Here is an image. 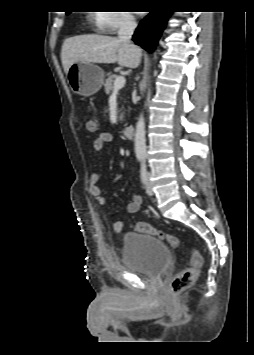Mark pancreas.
<instances>
[{
	"instance_id": "obj_1",
	"label": "pancreas",
	"mask_w": 254,
	"mask_h": 355,
	"mask_svg": "<svg viewBox=\"0 0 254 355\" xmlns=\"http://www.w3.org/2000/svg\"><path fill=\"white\" fill-rule=\"evenodd\" d=\"M118 77L116 74H108V78L105 81L104 88H105V93L109 94L113 90L114 86V81ZM123 119V114L119 116V120L121 121Z\"/></svg>"
}]
</instances>
